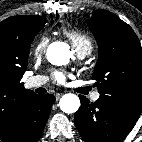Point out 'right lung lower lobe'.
Returning <instances> with one entry per match:
<instances>
[{
	"label": "right lung lower lobe",
	"mask_w": 142,
	"mask_h": 142,
	"mask_svg": "<svg viewBox=\"0 0 142 142\" xmlns=\"http://www.w3.org/2000/svg\"><path fill=\"white\" fill-rule=\"evenodd\" d=\"M54 101V95L35 94L24 106L11 131L0 136V140L2 142H37L41 137Z\"/></svg>",
	"instance_id": "right-lung-lower-lobe-1"
}]
</instances>
